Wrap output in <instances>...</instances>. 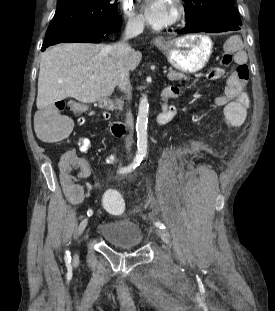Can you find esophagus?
Masks as SVG:
<instances>
[{
  "label": "esophagus",
  "instance_id": "1",
  "mask_svg": "<svg viewBox=\"0 0 275 311\" xmlns=\"http://www.w3.org/2000/svg\"><path fill=\"white\" fill-rule=\"evenodd\" d=\"M165 42V39L162 37V36H158L156 39H155V43L156 44H162Z\"/></svg>",
  "mask_w": 275,
  "mask_h": 311
}]
</instances>
